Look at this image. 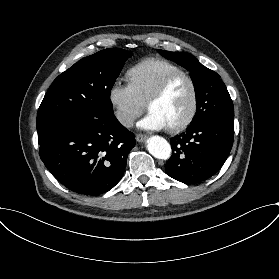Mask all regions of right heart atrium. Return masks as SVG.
Listing matches in <instances>:
<instances>
[{"mask_svg":"<svg viewBox=\"0 0 279 279\" xmlns=\"http://www.w3.org/2000/svg\"><path fill=\"white\" fill-rule=\"evenodd\" d=\"M107 99L115 120L122 127H129L145 109V103L138 98L132 87L119 81L110 86Z\"/></svg>","mask_w":279,"mask_h":279,"instance_id":"right-heart-atrium-1","label":"right heart atrium"}]
</instances>
